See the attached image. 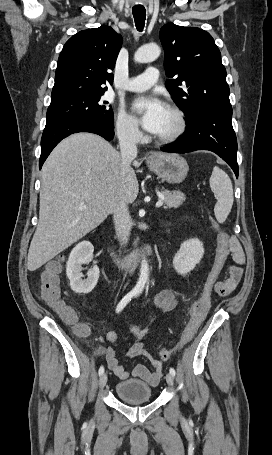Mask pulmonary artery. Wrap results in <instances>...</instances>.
Segmentation results:
<instances>
[{"mask_svg":"<svg viewBox=\"0 0 272 455\" xmlns=\"http://www.w3.org/2000/svg\"><path fill=\"white\" fill-rule=\"evenodd\" d=\"M159 72L155 67H149L146 71L136 77L130 78L124 85L128 91H144L152 87L158 80Z\"/></svg>","mask_w":272,"mask_h":455,"instance_id":"obj_1","label":"pulmonary artery"}]
</instances>
